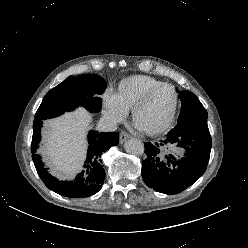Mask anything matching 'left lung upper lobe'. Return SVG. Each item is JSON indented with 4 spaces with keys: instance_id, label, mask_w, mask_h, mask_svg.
Wrapping results in <instances>:
<instances>
[{
    "instance_id": "1",
    "label": "left lung upper lobe",
    "mask_w": 248,
    "mask_h": 248,
    "mask_svg": "<svg viewBox=\"0 0 248 248\" xmlns=\"http://www.w3.org/2000/svg\"><path fill=\"white\" fill-rule=\"evenodd\" d=\"M179 98L182 105L178 122L196 121L208 118L207 111L194 94L188 91H181L179 92Z\"/></svg>"
}]
</instances>
